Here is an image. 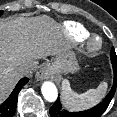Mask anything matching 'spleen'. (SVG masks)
I'll return each instance as SVG.
<instances>
[{
    "label": "spleen",
    "instance_id": "3e777b00",
    "mask_svg": "<svg viewBox=\"0 0 117 117\" xmlns=\"http://www.w3.org/2000/svg\"><path fill=\"white\" fill-rule=\"evenodd\" d=\"M107 88L108 83L105 81L101 82L96 89L78 94L71 89L70 82L65 79L62 82V103L70 111H83L99 103L105 96Z\"/></svg>",
    "mask_w": 117,
    "mask_h": 117
}]
</instances>
